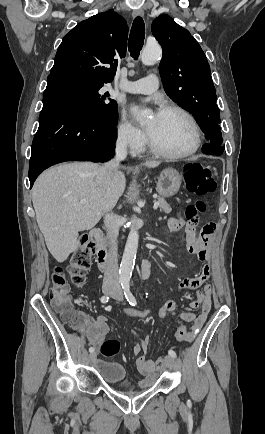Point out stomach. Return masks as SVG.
I'll list each match as a JSON object with an SVG mask.
<instances>
[{
  "label": "stomach",
  "instance_id": "1",
  "mask_svg": "<svg viewBox=\"0 0 265 434\" xmlns=\"http://www.w3.org/2000/svg\"><path fill=\"white\" fill-rule=\"evenodd\" d=\"M181 184L182 178L179 172L173 168H168V170L161 172L156 190L162 198H170V196L177 194Z\"/></svg>",
  "mask_w": 265,
  "mask_h": 434
}]
</instances>
